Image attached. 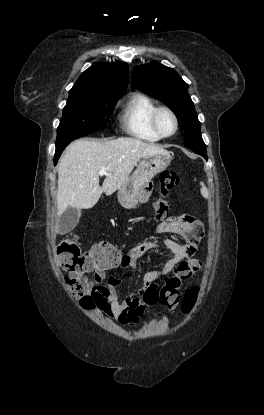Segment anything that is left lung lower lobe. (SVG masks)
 Listing matches in <instances>:
<instances>
[{
	"mask_svg": "<svg viewBox=\"0 0 264 415\" xmlns=\"http://www.w3.org/2000/svg\"><path fill=\"white\" fill-rule=\"evenodd\" d=\"M193 150L195 153L203 156L207 160L206 146L203 147H188Z\"/></svg>",
	"mask_w": 264,
	"mask_h": 415,
	"instance_id": "left-lung-lower-lobe-1",
	"label": "left lung lower lobe"
}]
</instances>
